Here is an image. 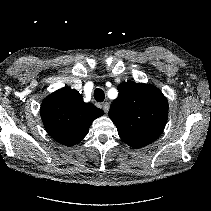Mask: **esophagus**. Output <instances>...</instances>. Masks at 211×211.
<instances>
[{
    "mask_svg": "<svg viewBox=\"0 0 211 211\" xmlns=\"http://www.w3.org/2000/svg\"><path fill=\"white\" fill-rule=\"evenodd\" d=\"M102 107H103L104 112H105V113H108L109 108H110L109 102L103 103Z\"/></svg>",
    "mask_w": 211,
    "mask_h": 211,
    "instance_id": "obj_1",
    "label": "esophagus"
}]
</instances>
